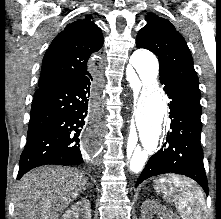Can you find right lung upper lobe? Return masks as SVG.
I'll return each instance as SVG.
<instances>
[{
  "label": "right lung upper lobe",
  "mask_w": 221,
  "mask_h": 219,
  "mask_svg": "<svg viewBox=\"0 0 221 219\" xmlns=\"http://www.w3.org/2000/svg\"><path fill=\"white\" fill-rule=\"evenodd\" d=\"M92 16L68 24L45 53L38 87H47L88 75L91 55L103 45L101 29Z\"/></svg>",
  "instance_id": "cb5924a9"
}]
</instances>
